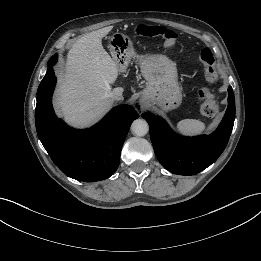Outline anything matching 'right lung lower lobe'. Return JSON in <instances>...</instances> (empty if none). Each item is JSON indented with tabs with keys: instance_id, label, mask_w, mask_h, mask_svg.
<instances>
[{
	"instance_id": "obj_1",
	"label": "right lung lower lobe",
	"mask_w": 261,
	"mask_h": 261,
	"mask_svg": "<svg viewBox=\"0 0 261 261\" xmlns=\"http://www.w3.org/2000/svg\"><path fill=\"white\" fill-rule=\"evenodd\" d=\"M55 84L54 71L49 67L37 91L35 113L44 148L68 177L85 182L109 178L119 165L123 142L139 114L131 106L120 105L90 129L70 128L55 116L51 102Z\"/></svg>"
}]
</instances>
